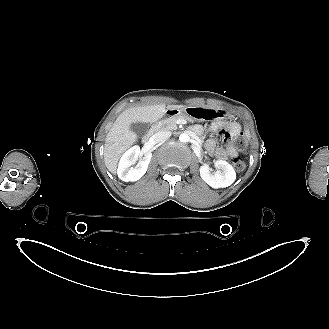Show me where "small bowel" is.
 <instances>
[{"label":"small bowel","instance_id":"1","mask_svg":"<svg viewBox=\"0 0 329 329\" xmlns=\"http://www.w3.org/2000/svg\"><path fill=\"white\" fill-rule=\"evenodd\" d=\"M203 130L206 133H213L216 130V123L213 120H206L203 123ZM240 126L236 123L228 125L227 129H219L216 132L217 137L223 138L224 146H218L215 140L208 142V148L219 160L227 158L235 159L238 157V152L234 146L233 139L240 133Z\"/></svg>","mask_w":329,"mask_h":329}]
</instances>
